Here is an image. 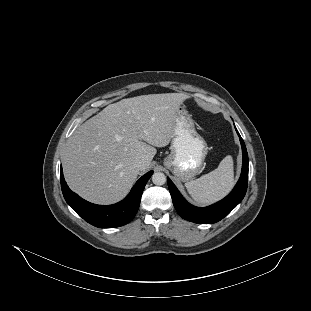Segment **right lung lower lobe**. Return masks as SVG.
<instances>
[{"label":"right lung lower lobe","instance_id":"1","mask_svg":"<svg viewBox=\"0 0 311 311\" xmlns=\"http://www.w3.org/2000/svg\"><path fill=\"white\" fill-rule=\"evenodd\" d=\"M153 174L149 171L143 175L121 202L102 206L85 201L67 186L62 167L60 170L61 189L66 202L88 223L99 228H115L129 223L136 215L144 187Z\"/></svg>","mask_w":311,"mask_h":311}]
</instances>
